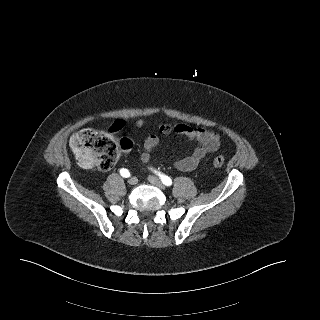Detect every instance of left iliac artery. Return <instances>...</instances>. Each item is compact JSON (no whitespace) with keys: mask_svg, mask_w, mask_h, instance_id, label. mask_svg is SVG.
Returning a JSON list of instances; mask_svg holds the SVG:
<instances>
[{"mask_svg":"<svg viewBox=\"0 0 320 320\" xmlns=\"http://www.w3.org/2000/svg\"><path fill=\"white\" fill-rule=\"evenodd\" d=\"M156 172V171H155ZM158 173L161 181L163 182V184H165L166 186H170L172 184V180L170 177L164 175V174H161L160 172H156Z\"/></svg>","mask_w":320,"mask_h":320,"instance_id":"1","label":"left iliac artery"}]
</instances>
